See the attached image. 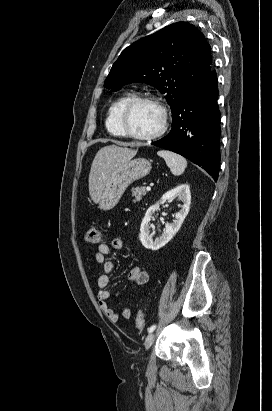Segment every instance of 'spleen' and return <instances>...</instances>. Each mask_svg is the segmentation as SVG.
<instances>
[{
    "label": "spleen",
    "instance_id": "1",
    "mask_svg": "<svg viewBox=\"0 0 272 411\" xmlns=\"http://www.w3.org/2000/svg\"><path fill=\"white\" fill-rule=\"evenodd\" d=\"M157 154L165 160L173 175L183 174L187 167V161L184 157L168 150H159Z\"/></svg>",
    "mask_w": 272,
    "mask_h": 411
}]
</instances>
